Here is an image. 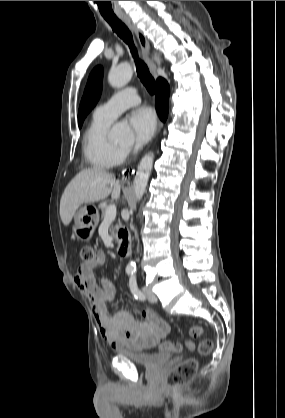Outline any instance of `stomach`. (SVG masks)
<instances>
[{
    "label": "stomach",
    "mask_w": 285,
    "mask_h": 418,
    "mask_svg": "<svg viewBox=\"0 0 285 418\" xmlns=\"http://www.w3.org/2000/svg\"><path fill=\"white\" fill-rule=\"evenodd\" d=\"M99 222L98 211L95 207L81 208L74 218V234L82 241L89 240Z\"/></svg>",
    "instance_id": "1"
}]
</instances>
